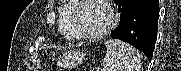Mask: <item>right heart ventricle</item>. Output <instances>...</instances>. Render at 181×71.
Instances as JSON below:
<instances>
[{"label":"right heart ventricle","instance_id":"right-heart-ventricle-1","mask_svg":"<svg viewBox=\"0 0 181 71\" xmlns=\"http://www.w3.org/2000/svg\"><path fill=\"white\" fill-rule=\"evenodd\" d=\"M76 8V4L72 2H65L64 5L61 8V21L59 25V30L63 36H65L68 39H74L72 37V28L70 26L71 19L74 13V10Z\"/></svg>","mask_w":181,"mask_h":71}]
</instances>
